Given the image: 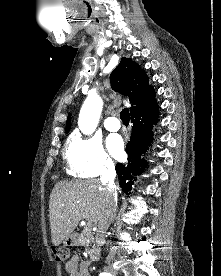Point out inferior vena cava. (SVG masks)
I'll return each mask as SVG.
<instances>
[{
	"label": "inferior vena cava",
	"mask_w": 221,
	"mask_h": 276,
	"mask_svg": "<svg viewBox=\"0 0 221 276\" xmlns=\"http://www.w3.org/2000/svg\"><path fill=\"white\" fill-rule=\"evenodd\" d=\"M115 166L113 163H106L105 169L101 173V182L107 190V203L104 213L98 221L96 231V243L102 246L105 243V234L110 223L114 220L117 211V187L115 185Z\"/></svg>",
	"instance_id": "1"
}]
</instances>
